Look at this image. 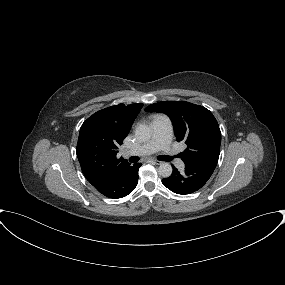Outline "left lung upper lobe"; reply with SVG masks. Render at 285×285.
Listing matches in <instances>:
<instances>
[{
  "label": "left lung upper lobe",
  "mask_w": 285,
  "mask_h": 285,
  "mask_svg": "<svg viewBox=\"0 0 285 285\" xmlns=\"http://www.w3.org/2000/svg\"><path fill=\"white\" fill-rule=\"evenodd\" d=\"M145 111L162 112L169 116L176 140L187 144L185 151L180 154L185 165L218 162L221 132L215 117L208 109L184 101H167L151 104Z\"/></svg>",
  "instance_id": "left-lung-upper-lobe-1"
}]
</instances>
